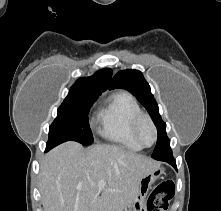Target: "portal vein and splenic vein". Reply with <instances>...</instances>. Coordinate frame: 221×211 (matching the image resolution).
<instances>
[{"label":"portal vein and splenic vein","instance_id":"portal-vein-and-splenic-vein-1","mask_svg":"<svg viewBox=\"0 0 221 211\" xmlns=\"http://www.w3.org/2000/svg\"><path fill=\"white\" fill-rule=\"evenodd\" d=\"M105 184H106V182H105L104 179L100 180V182H99V184H98V188H99V190L104 189Z\"/></svg>","mask_w":221,"mask_h":211}]
</instances>
